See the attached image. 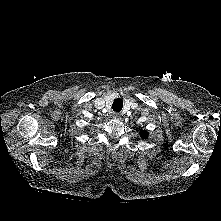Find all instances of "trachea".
Returning a JSON list of instances; mask_svg holds the SVG:
<instances>
[{
	"label": "trachea",
	"instance_id": "1",
	"mask_svg": "<svg viewBox=\"0 0 221 221\" xmlns=\"http://www.w3.org/2000/svg\"><path fill=\"white\" fill-rule=\"evenodd\" d=\"M123 107V101L119 98L115 99L113 104H112V109L115 112H120Z\"/></svg>",
	"mask_w": 221,
	"mask_h": 221
}]
</instances>
